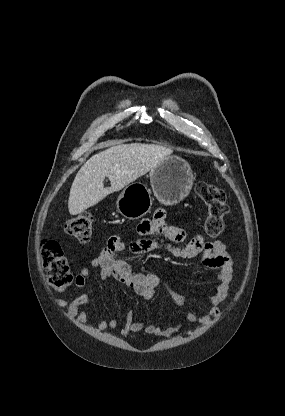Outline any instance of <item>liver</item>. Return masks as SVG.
Instances as JSON below:
<instances>
[{
    "label": "liver",
    "mask_w": 285,
    "mask_h": 416,
    "mask_svg": "<svg viewBox=\"0 0 285 416\" xmlns=\"http://www.w3.org/2000/svg\"><path fill=\"white\" fill-rule=\"evenodd\" d=\"M96 148L108 150L95 154L80 168L71 186L68 200L71 216H77L104 200L109 194L119 192L173 154L170 148L154 144L102 142ZM105 178L110 180V188H104Z\"/></svg>",
    "instance_id": "obj_1"
}]
</instances>
